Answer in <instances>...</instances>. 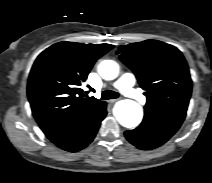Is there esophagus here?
<instances>
[{
	"label": "esophagus",
	"instance_id": "1",
	"mask_svg": "<svg viewBox=\"0 0 212 183\" xmlns=\"http://www.w3.org/2000/svg\"><path fill=\"white\" fill-rule=\"evenodd\" d=\"M119 99H111V100H109V103H111V104H113V103H115L116 101H118Z\"/></svg>",
	"mask_w": 212,
	"mask_h": 183
}]
</instances>
